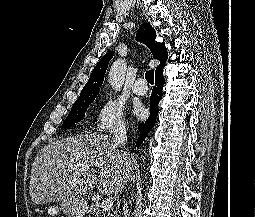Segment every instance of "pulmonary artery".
I'll return each mask as SVG.
<instances>
[{
    "label": "pulmonary artery",
    "mask_w": 255,
    "mask_h": 217,
    "mask_svg": "<svg viewBox=\"0 0 255 217\" xmlns=\"http://www.w3.org/2000/svg\"><path fill=\"white\" fill-rule=\"evenodd\" d=\"M145 82V79L142 77L137 78L134 86H133V92L136 95L142 96L145 95L147 93L148 88L143 85Z\"/></svg>",
    "instance_id": "pulmonary-artery-1"
}]
</instances>
